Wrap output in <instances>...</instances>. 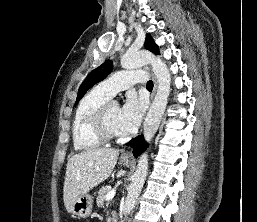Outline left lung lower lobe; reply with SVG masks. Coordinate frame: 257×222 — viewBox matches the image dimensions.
<instances>
[{
	"label": "left lung lower lobe",
	"instance_id": "1",
	"mask_svg": "<svg viewBox=\"0 0 257 222\" xmlns=\"http://www.w3.org/2000/svg\"><path fill=\"white\" fill-rule=\"evenodd\" d=\"M127 145L133 148V155L135 158H137L147 146L142 135L132 139Z\"/></svg>",
	"mask_w": 257,
	"mask_h": 222
}]
</instances>
